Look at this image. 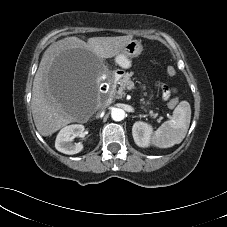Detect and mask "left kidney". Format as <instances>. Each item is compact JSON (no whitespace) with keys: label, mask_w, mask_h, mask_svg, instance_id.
<instances>
[{"label":"left kidney","mask_w":227,"mask_h":227,"mask_svg":"<svg viewBox=\"0 0 227 227\" xmlns=\"http://www.w3.org/2000/svg\"><path fill=\"white\" fill-rule=\"evenodd\" d=\"M153 133V128L151 125L145 122H135L132 127V135L135 143L139 147H148L150 145L151 135Z\"/></svg>","instance_id":"5707ae66"}]
</instances>
